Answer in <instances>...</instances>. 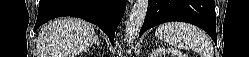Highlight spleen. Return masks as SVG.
I'll return each instance as SVG.
<instances>
[{"mask_svg": "<svg viewBox=\"0 0 249 57\" xmlns=\"http://www.w3.org/2000/svg\"><path fill=\"white\" fill-rule=\"evenodd\" d=\"M155 36L171 46L197 51L201 57L213 55V47L206 33L188 23H164L157 27Z\"/></svg>", "mask_w": 249, "mask_h": 57, "instance_id": "1", "label": "spleen"}]
</instances>
